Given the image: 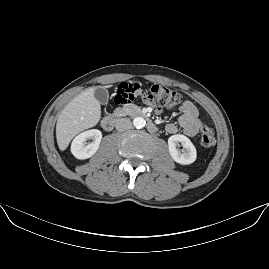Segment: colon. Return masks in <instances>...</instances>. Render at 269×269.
<instances>
[{
  "label": "colon",
  "mask_w": 269,
  "mask_h": 269,
  "mask_svg": "<svg viewBox=\"0 0 269 269\" xmlns=\"http://www.w3.org/2000/svg\"><path fill=\"white\" fill-rule=\"evenodd\" d=\"M115 100L120 105H127L133 100H141L150 105L172 109L181 103L182 97L178 91L160 83H151L144 88L123 84L116 91ZM199 139L206 148H212L216 143L212 129L205 124L200 128Z\"/></svg>",
  "instance_id": "5ec220e1"
}]
</instances>
